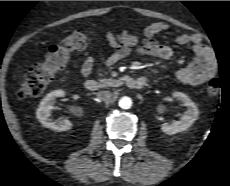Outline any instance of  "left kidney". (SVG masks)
Instances as JSON below:
<instances>
[{"label":"left kidney","instance_id":"5707ae66","mask_svg":"<svg viewBox=\"0 0 230 186\" xmlns=\"http://www.w3.org/2000/svg\"><path fill=\"white\" fill-rule=\"evenodd\" d=\"M172 96L186 106L187 110L179 121L162 124L161 130L168 135L186 131L193 124V122L198 119L199 116L197 106L186 94L182 92H174Z\"/></svg>","mask_w":230,"mask_h":186}]
</instances>
